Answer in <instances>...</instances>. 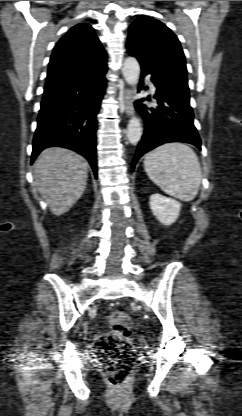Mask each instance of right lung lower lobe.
Here are the masks:
<instances>
[{
	"instance_id": "1",
	"label": "right lung lower lobe",
	"mask_w": 242,
	"mask_h": 416,
	"mask_svg": "<svg viewBox=\"0 0 242 416\" xmlns=\"http://www.w3.org/2000/svg\"><path fill=\"white\" fill-rule=\"evenodd\" d=\"M106 71L44 89L33 139L32 162L45 148L64 147L84 156L97 177L95 133L107 85Z\"/></svg>"
}]
</instances>
